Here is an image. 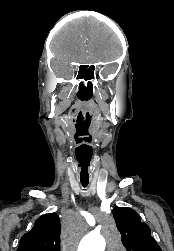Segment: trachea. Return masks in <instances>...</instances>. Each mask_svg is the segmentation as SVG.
Wrapping results in <instances>:
<instances>
[{"mask_svg": "<svg viewBox=\"0 0 174 251\" xmlns=\"http://www.w3.org/2000/svg\"><path fill=\"white\" fill-rule=\"evenodd\" d=\"M81 184L83 185V187H86L88 185V182L82 181Z\"/></svg>", "mask_w": 174, "mask_h": 251, "instance_id": "1", "label": "trachea"}]
</instances>
